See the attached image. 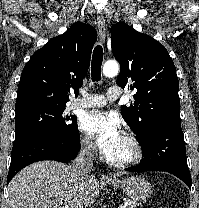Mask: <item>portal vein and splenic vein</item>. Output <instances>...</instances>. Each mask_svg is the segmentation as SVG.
I'll return each mask as SVG.
<instances>
[{
	"mask_svg": "<svg viewBox=\"0 0 199 208\" xmlns=\"http://www.w3.org/2000/svg\"><path fill=\"white\" fill-rule=\"evenodd\" d=\"M128 204L120 205L118 208H125Z\"/></svg>",
	"mask_w": 199,
	"mask_h": 208,
	"instance_id": "18ae733b",
	"label": "portal vein and splenic vein"
}]
</instances>
